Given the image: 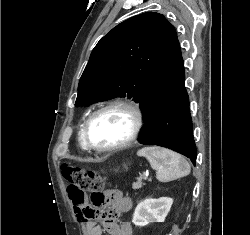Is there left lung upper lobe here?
<instances>
[{
    "label": "left lung upper lobe",
    "instance_id": "obj_1",
    "mask_svg": "<svg viewBox=\"0 0 250 235\" xmlns=\"http://www.w3.org/2000/svg\"><path fill=\"white\" fill-rule=\"evenodd\" d=\"M176 41L174 26L159 13L146 12L120 23L93 49L75 106L124 96L140 102Z\"/></svg>",
    "mask_w": 250,
    "mask_h": 235
}]
</instances>
